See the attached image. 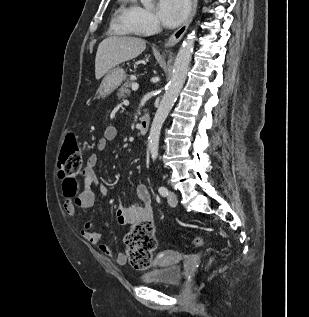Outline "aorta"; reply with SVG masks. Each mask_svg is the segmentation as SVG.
I'll return each instance as SVG.
<instances>
[{
    "instance_id": "aorta-1",
    "label": "aorta",
    "mask_w": 309,
    "mask_h": 317,
    "mask_svg": "<svg viewBox=\"0 0 309 317\" xmlns=\"http://www.w3.org/2000/svg\"><path fill=\"white\" fill-rule=\"evenodd\" d=\"M144 7H151L152 0H140ZM196 38L195 30L183 42L176 56L172 75L167 84L165 94L154 116L149 133V152L155 161L158 157L160 131L170 110L172 109L187 77Z\"/></svg>"
}]
</instances>
